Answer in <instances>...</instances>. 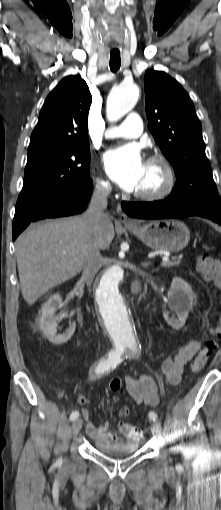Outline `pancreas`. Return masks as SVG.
I'll return each instance as SVG.
<instances>
[{
	"instance_id": "1",
	"label": "pancreas",
	"mask_w": 221,
	"mask_h": 510,
	"mask_svg": "<svg viewBox=\"0 0 221 510\" xmlns=\"http://www.w3.org/2000/svg\"><path fill=\"white\" fill-rule=\"evenodd\" d=\"M176 264H177V263H173L172 265H170V266H168V267H173V266H175Z\"/></svg>"
}]
</instances>
